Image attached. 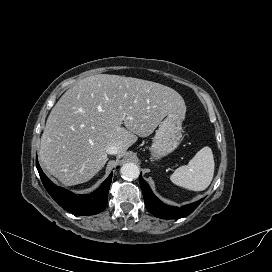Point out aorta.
Returning a JSON list of instances; mask_svg holds the SVG:
<instances>
[{
	"label": "aorta",
	"mask_w": 272,
	"mask_h": 272,
	"mask_svg": "<svg viewBox=\"0 0 272 272\" xmlns=\"http://www.w3.org/2000/svg\"><path fill=\"white\" fill-rule=\"evenodd\" d=\"M121 176L126 180L137 179L139 176V167L134 163H125L120 169Z\"/></svg>",
	"instance_id": "obj_1"
}]
</instances>
